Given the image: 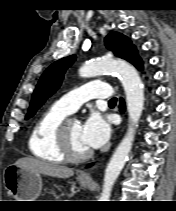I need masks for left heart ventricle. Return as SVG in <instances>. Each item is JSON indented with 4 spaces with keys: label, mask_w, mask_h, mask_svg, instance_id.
I'll return each mask as SVG.
<instances>
[{
    "label": "left heart ventricle",
    "mask_w": 176,
    "mask_h": 211,
    "mask_svg": "<svg viewBox=\"0 0 176 211\" xmlns=\"http://www.w3.org/2000/svg\"><path fill=\"white\" fill-rule=\"evenodd\" d=\"M82 126L77 121H70L68 124V135L71 146L78 153L86 152L89 148L84 144L81 136Z\"/></svg>",
    "instance_id": "b2bd125f"
}]
</instances>
